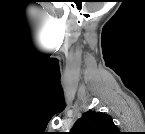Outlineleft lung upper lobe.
Listing matches in <instances>:
<instances>
[{"mask_svg":"<svg viewBox=\"0 0 145 134\" xmlns=\"http://www.w3.org/2000/svg\"><path fill=\"white\" fill-rule=\"evenodd\" d=\"M70 134H119V129L110 115L90 110L75 122Z\"/></svg>","mask_w":145,"mask_h":134,"instance_id":"5c2ea615","label":"left lung upper lobe"}]
</instances>
